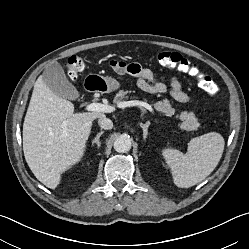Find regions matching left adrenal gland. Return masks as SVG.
<instances>
[{"mask_svg":"<svg viewBox=\"0 0 249 249\" xmlns=\"http://www.w3.org/2000/svg\"><path fill=\"white\" fill-rule=\"evenodd\" d=\"M149 125H150L149 121H147L145 124L140 123V127L143 129V138H144V140H146V138H147Z\"/></svg>","mask_w":249,"mask_h":249,"instance_id":"left-adrenal-gland-1","label":"left adrenal gland"}]
</instances>
